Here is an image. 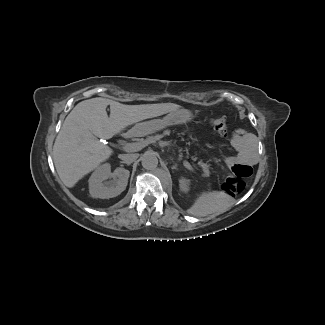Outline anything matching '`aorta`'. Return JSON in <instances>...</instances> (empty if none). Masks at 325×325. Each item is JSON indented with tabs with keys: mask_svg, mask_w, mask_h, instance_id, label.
I'll return each instance as SVG.
<instances>
[{
	"mask_svg": "<svg viewBox=\"0 0 325 325\" xmlns=\"http://www.w3.org/2000/svg\"><path fill=\"white\" fill-rule=\"evenodd\" d=\"M141 163L143 168L147 170H153L158 165L157 154L154 151H147L141 157Z\"/></svg>",
	"mask_w": 325,
	"mask_h": 325,
	"instance_id": "1",
	"label": "aorta"
}]
</instances>
